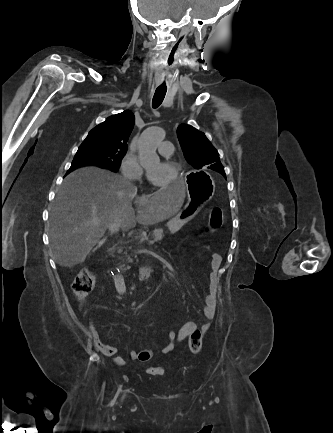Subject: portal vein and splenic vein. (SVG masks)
I'll use <instances>...</instances> for the list:
<instances>
[{
	"instance_id": "1",
	"label": "portal vein and splenic vein",
	"mask_w": 333,
	"mask_h": 433,
	"mask_svg": "<svg viewBox=\"0 0 333 433\" xmlns=\"http://www.w3.org/2000/svg\"><path fill=\"white\" fill-rule=\"evenodd\" d=\"M94 223H97V222H96V221H94ZM150 243H151V244H153V243H154V241H150Z\"/></svg>"
}]
</instances>
